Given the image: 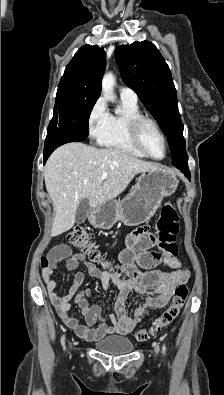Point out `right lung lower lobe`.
Instances as JSON below:
<instances>
[{"label":"right lung lower lobe","mask_w":224,"mask_h":395,"mask_svg":"<svg viewBox=\"0 0 224 395\" xmlns=\"http://www.w3.org/2000/svg\"><path fill=\"white\" fill-rule=\"evenodd\" d=\"M82 140L74 138L70 135L63 133H50L47 132V137L45 140L43 161L44 164L47 161L50 154L59 146L69 143V142H80Z\"/></svg>","instance_id":"obj_1"}]
</instances>
